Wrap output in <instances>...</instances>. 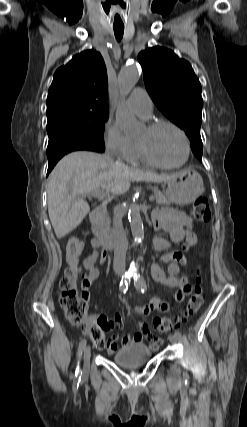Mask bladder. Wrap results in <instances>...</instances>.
Returning <instances> with one entry per match:
<instances>
[{
  "label": "bladder",
  "instance_id": "31cf9c89",
  "mask_svg": "<svg viewBox=\"0 0 247 427\" xmlns=\"http://www.w3.org/2000/svg\"><path fill=\"white\" fill-rule=\"evenodd\" d=\"M153 355L152 350L144 344L132 343L120 348L113 355V361L124 368L144 365Z\"/></svg>",
  "mask_w": 247,
  "mask_h": 427
}]
</instances>
